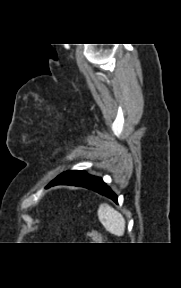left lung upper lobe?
I'll use <instances>...</instances> for the list:
<instances>
[{
  "label": "left lung upper lobe",
  "instance_id": "left-lung-upper-lobe-1",
  "mask_svg": "<svg viewBox=\"0 0 181 288\" xmlns=\"http://www.w3.org/2000/svg\"><path fill=\"white\" fill-rule=\"evenodd\" d=\"M89 176L90 175L87 174L85 171L72 170V171H66L60 174L53 181H56L60 184H65V185H74Z\"/></svg>",
  "mask_w": 181,
  "mask_h": 288
}]
</instances>
